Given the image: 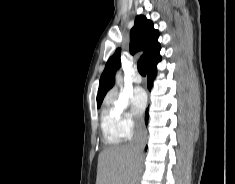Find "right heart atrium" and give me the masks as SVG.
<instances>
[{
  "mask_svg": "<svg viewBox=\"0 0 235 184\" xmlns=\"http://www.w3.org/2000/svg\"><path fill=\"white\" fill-rule=\"evenodd\" d=\"M104 107L112 113L116 131L122 139H130L142 131L143 125L132 115L125 95L109 92L104 99Z\"/></svg>",
  "mask_w": 235,
  "mask_h": 184,
  "instance_id": "d8ad5b80",
  "label": "right heart atrium"
}]
</instances>
